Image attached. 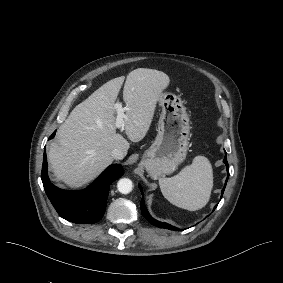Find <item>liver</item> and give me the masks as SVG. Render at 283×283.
<instances>
[{
	"label": "liver",
	"instance_id": "1",
	"mask_svg": "<svg viewBox=\"0 0 283 283\" xmlns=\"http://www.w3.org/2000/svg\"><path fill=\"white\" fill-rule=\"evenodd\" d=\"M168 76L158 70L138 68L126 79L122 127L132 142L140 141L149 128L154 103ZM124 77L111 79L75 106L49 145L47 158L56 181L79 189L95 180L113 163L112 150L125 156L129 141L115 131L112 109Z\"/></svg>",
	"mask_w": 283,
	"mask_h": 283
}]
</instances>
